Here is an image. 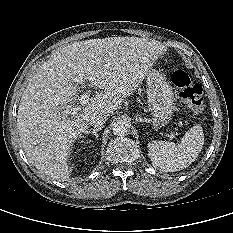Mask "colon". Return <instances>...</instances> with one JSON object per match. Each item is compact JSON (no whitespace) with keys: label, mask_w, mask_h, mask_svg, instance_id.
Returning a JSON list of instances; mask_svg holds the SVG:
<instances>
[{"label":"colon","mask_w":233,"mask_h":233,"mask_svg":"<svg viewBox=\"0 0 233 233\" xmlns=\"http://www.w3.org/2000/svg\"><path fill=\"white\" fill-rule=\"evenodd\" d=\"M172 82L175 85L180 98L196 113L203 111L204 98L202 87L194 82L183 70H176L172 74Z\"/></svg>","instance_id":"colon-1"}]
</instances>
